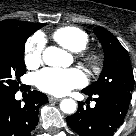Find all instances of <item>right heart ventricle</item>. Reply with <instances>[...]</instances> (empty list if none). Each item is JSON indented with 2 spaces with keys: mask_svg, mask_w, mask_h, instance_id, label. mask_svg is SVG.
Here are the masks:
<instances>
[{
  "mask_svg": "<svg viewBox=\"0 0 136 136\" xmlns=\"http://www.w3.org/2000/svg\"><path fill=\"white\" fill-rule=\"evenodd\" d=\"M53 38L62 47L72 52H79L89 44L88 34L76 26H65L57 29L53 33Z\"/></svg>",
  "mask_w": 136,
  "mask_h": 136,
  "instance_id": "obj_1",
  "label": "right heart ventricle"
}]
</instances>
